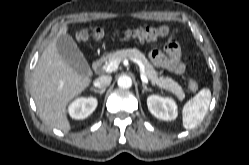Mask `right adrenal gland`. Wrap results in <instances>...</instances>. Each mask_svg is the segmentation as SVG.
I'll return each mask as SVG.
<instances>
[{"label": "right adrenal gland", "mask_w": 249, "mask_h": 165, "mask_svg": "<svg viewBox=\"0 0 249 165\" xmlns=\"http://www.w3.org/2000/svg\"><path fill=\"white\" fill-rule=\"evenodd\" d=\"M92 91H94L95 93H99L100 95H102L105 92V88L103 89H95V88H91Z\"/></svg>", "instance_id": "obj_1"}]
</instances>
